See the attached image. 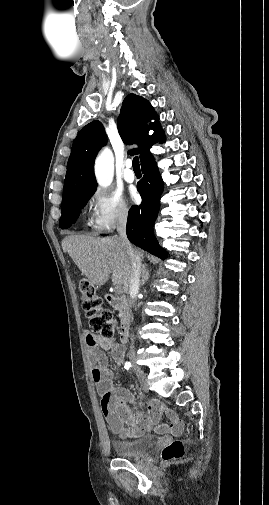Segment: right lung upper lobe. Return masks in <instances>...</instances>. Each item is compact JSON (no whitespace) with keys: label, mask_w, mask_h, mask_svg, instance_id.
<instances>
[{"label":"right lung upper lobe","mask_w":269,"mask_h":505,"mask_svg":"<svg viewBox=\"0 0 269 505\" xmlns=\"http://www.w3.org/2000/svg\"><path fill=\"white\" fill-rule=\"evenodd\" d=\"M152 119L155 122L147 126L146 123ZM150 129L154 130L152 136L148 135ZM118 130L124 142L138 145L137 149L130 150L129 153L139 154L141 164L151 156L149 150L152 145L157 141L163 142L165 139L150 103L135 94H129L122 103L118 118ZM106 142V134L99 121L87 124L79 132L67 163L63 201L81 192L96 188L93 172L94 159Z\"/></svg>","instance_id":"cb5924a9"}]
</instances>
